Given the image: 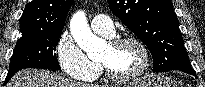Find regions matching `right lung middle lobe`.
<instances>
[{"mask_svg": "<svg viewBox=\"0 0 205 87\" xmlns=\"http://www.w3.org/2000/svg\"><path fill=\"white\" fill-rule=\"evenodd\" d=\"M60 36L61 31L22 33L13 52L9 72L30 67L59 70L55 49Z\"/></svg>", "mask_w": 205, "mask_h": 87, "instance_id": "dd1d6c3e", "label": "right lung middle lobe"}]
</instances>
